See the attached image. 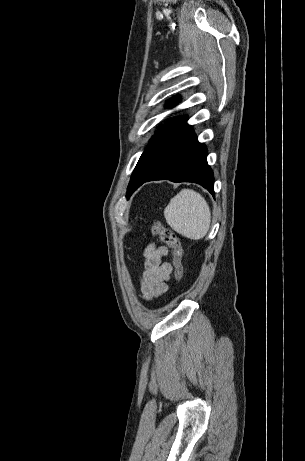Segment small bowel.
I'll return each instance as SVG.
<instances>
[{"label": "small bowel", "mask_w": 305, "mask_h": 461, "mask_svg": "<svg viewBox=\"0 0 305 461\" xmlns=\"http://www.w3.org/2000/svg\"><path fill=\"white\" fill-rule=\"evenodd\" d=\"M168 250L165 246L150 243L144 250V270L140 277V293L145 301H153L167 290L166 281L169 279L173 267L164 261Z\"/></svg>", "instance_id": "obj_1"}]
</instances>
